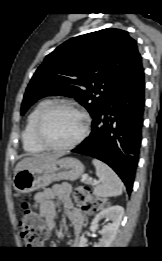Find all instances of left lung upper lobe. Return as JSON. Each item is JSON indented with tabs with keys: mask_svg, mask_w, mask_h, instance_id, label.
Instances as JSON below:
<instances>
[{
	"mask_svg": "<svg viewBox=\"0 0 162 261\" xmlns=\"http://www.w3.org/2000/svg\"><path fill=\"white\" fill-rule=\"evenodd\" d=\"M137 42L127 31L107 28L71 38L46 56L33 75L21 115L48 95L75 98L93 116L112 89L140 64Z\"/></svg>",
	"mask_w": 162,
	"mask_h": 261,
	"instance_id": "left-lung-upper-lobe-1",
	"label": "left lung upper lobe"
}]
</instances>
